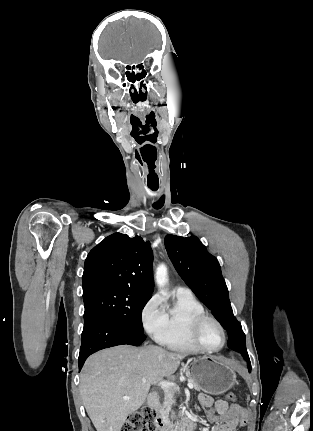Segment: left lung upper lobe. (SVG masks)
Segmentation results:
<instances>
[{"instance_id":"1","label":"left lung upper lobe","mask_w":313,"mask_h":431,"mask_svg":"<svg viewBox=\"0 0 313 431\" xmlns=\"http://www.w3.org/2000/svg\"><path fill=\"white\" fill-rule=\"evenodd\" d=\"M167 253L178 274L195 295L213 312L228 332V347L242 354L246 361L245 334L233 315L228 289L216 257L212 256L197 237H165ZM251 369L250 364L248 365Z\"/></svg>"}]
</instances>
